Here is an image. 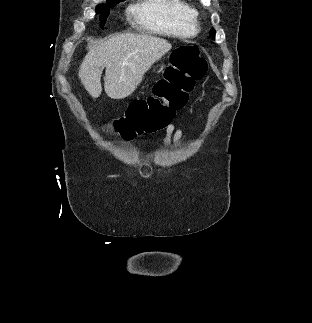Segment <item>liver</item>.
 Segmentation results:
<instances>
[{"label": "liver", "mask_w": 312, "mask_h": 323, "mask_svg": "<svg viewBox=\"0 0 312 323\" xmlns=\"http://www.w3.org/2000/svg\"><path fill=\"white\" fill-rule=\"evenodd\" d=\"M171 44L151 34H118L105 38L89 50L79 70V78L92 98L102 92L101 74L105 70L104 88L112 100L131 96L141 84L152 64L171 50Z\"/></svg>", "instance_id": "obj_1"}]
</instances>
